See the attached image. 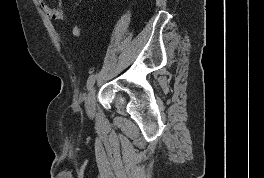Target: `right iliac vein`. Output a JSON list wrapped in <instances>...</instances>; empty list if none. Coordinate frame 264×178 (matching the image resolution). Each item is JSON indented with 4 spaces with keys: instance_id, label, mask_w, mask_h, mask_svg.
Returning a JSON list of instances; mask_svg holds the SVG:
<instances>
[{
    "instance_id": "1",
    "label": "right iliac vein",
    "mask_w": 264,
    "mask_h": 178,
    "mask_svg": "<svg viewBox=\"0 0 264 178\" xmlns=\"http://www.w3.org/2000/svg\"><path fill=\"white\" fill-rule=\"evenodd\" d=\"M95 87H91L90 92L87 95L86 102H85V108L86 112L90 117H93L94 110H95Z\"/></svg>"
}]
</instances>
